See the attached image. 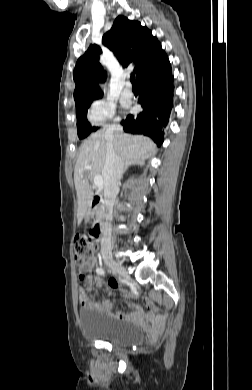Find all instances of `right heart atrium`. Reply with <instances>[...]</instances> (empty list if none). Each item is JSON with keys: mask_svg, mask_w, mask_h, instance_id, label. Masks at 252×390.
<instances>
[{"mask_svg": "<svg viewBox=\"0 0 252 390\" xmlns=\"http://www.w3.org/2000/svg\"><path fill=\"white\" fill-rule=\"evenodd\" d=\"M88 119L94 125H105L109 121H118L115 104L107 99H97L88 110Z\"/></svg>", "mask_w": 252, "mask_h": 390, "instance_id": "obj_1", "label": "right heart atrium"}]
</instances>
